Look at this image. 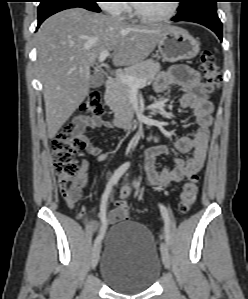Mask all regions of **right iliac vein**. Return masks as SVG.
<instances>
[{
  "mask_svg": "<svg viewBox=\"0 0 248 299\" xmlns=\"http://www.w3.org/2000/svg\"><path fill=\"white\" fill-rule=\"evenodd\" d=\"M100 251H101V242L95 243L92 254H91V266L95 267L98 263L99 257H100Z\"/></svg>",
  "mask_w": 248,
  "mask_h": 299,
  "instance_id": "right-iliac-vein-1",
  "label": "right iliac vein"
}]
</instances>
